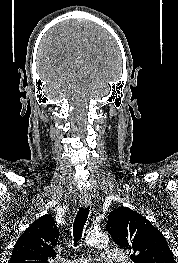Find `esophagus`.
I'll return each mask as SVG.
<instances>
[{
    "instance_id": "obj_1",
    "label": "esophagus",
    "mask_w": 178,
    "mask_h": 263,
    "mask_svg": "<svg viewBox=\"0 0 178 263\" xmlns=\"http://www.w3.org/2000/svg\"><path fill=\"white\" fill-rule=\"evenodd\" d=\"M91 198L88 196V195H86V196H81L80 197V205L83 207V208H86V207H88V206H90L91 205Z\"/></svg>"
}]
</instances>
